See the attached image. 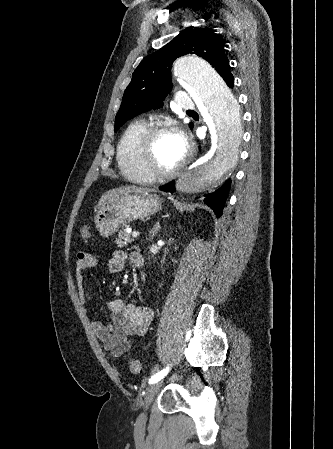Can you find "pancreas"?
Instances as JSON below:
<instances>
[{
	"mask_svg": "<svg viewBox=\"0 0 333 449\" xmlns=\"http://www.w3.org/2000/svg\"><path fill=\"white\" fill-rule=\"evenodd\" d=\"M127 226L123 227V229L119 232L118 239H116V244L119 247L127 246L132 242L131 234L126 232Z\"/></svg>",
	"mask_w": 333,
	"mask_h": 449,
	"instance_id": "1",
	"label": "pancreas"
}]
</instances>
